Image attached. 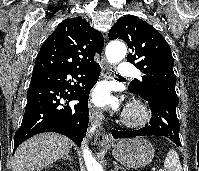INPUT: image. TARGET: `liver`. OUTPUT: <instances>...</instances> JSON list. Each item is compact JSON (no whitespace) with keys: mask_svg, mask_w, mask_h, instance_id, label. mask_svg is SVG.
Returning a JSON list of instances; mask_svg holds the SVG:
<instances>
[{"mask_svg":"<svg viewBox=\"0 0 199 171\" xmlns=\"http://www.w3.org/2000/svg\"><path fill=\"white\" fill-rule=\"evenodd\" d=\"M73 142L58 133H41L23 142L12 160V171H40L62 158Z\"/></svg>","mask_w":199,"mask_h":171,"instance_id":"1","label":"liver"}]
</instances>
